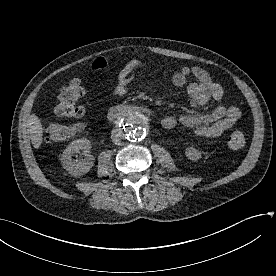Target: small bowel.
<instances>
[{
	"label": "small bowel",
	"mask_w": 276,
	"mask_h": 276,
	"mask_svg": "<svg viewBox=\"0 0 276 276\" xmlns=\"http://www.w3.org/2000/svg\"><path fill=\"white\" fill-rule=\"evenodd\" d=\"M145 65L143 59L133 50L130 59L119 71L116 84L112 90L113 97H122L127 92L136 70ZM107 66V61L99 57L91 65L92 71H100ZM192 76L194 81H189ZM172 82L177 87H184L194 108L201 109L210 101L217 107L210 113L185 114L179 117L166 116L162 126L173 129L177 126L192 128L201 137H218L229 130L241 118V111L235 106L223 104L224 91L220 84L213 81L208 72L201 67L183 65L172 75Z\"/></svg>",
	"instance_id": "small-bowel-1"
}]
</instances>
